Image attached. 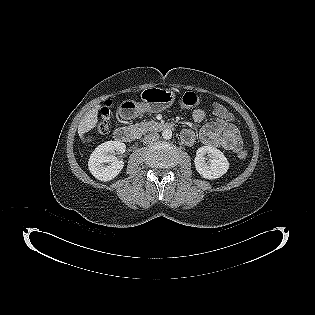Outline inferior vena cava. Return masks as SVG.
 Returning a JSON list of instances; mask_svg holds the SVG:
<instances>
[{"mask_svg":"<svg viewBox=\"0 0 315 315\" xmlns=\"http://www.w3.org/2000/svg\"><path fill=\"white\" fill-rule=\"evenodd\" d=\"M159 137L160 135L158 133H150L148 135H145L143 142L146 144L152 143L154 141H157Z\"/></svg>","mask_w":315,"mask_h":315,"instance_id":"602c4592","label":"inferior vena cava"}]
</instances>
